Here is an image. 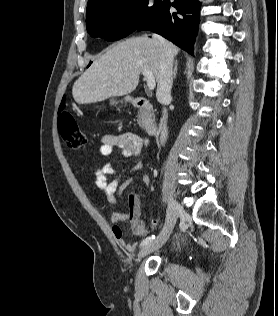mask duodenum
<instances>
[{"label":"duodenum","mask_w":278,"mask_h":316,"mask_svg":"<svg viewBox=\"0 0 278 316\" xmlns=\"http://www.w3.org/2000/svg\"><path fill=\"white\" fill-rule=\"evenodd\" d=\"M129 102L137 107V108H148L149 107V101L144 97H130ZM157 124L155 122H150L146 126V132L149 135H154L157 132Z\"/></svg>","instance_id":"410a0bca"}]
</instances>
